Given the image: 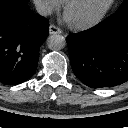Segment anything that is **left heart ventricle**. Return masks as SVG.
Listing matches in <instances>:
<instances>
[{
	"label": "left heart ventricle",
	"mask_w": 128,
	"mask_h": 128,
	"mask_svg": "<svg viewBox=\"0 0 128 128\" xmlns=\"http://www.w3.org/2000/svg\"><path fill=\"white\" fill-rule=\"evenodd\" d=\"M108 0H78L68 11L72 22L85 21L95 16Z\"/></svg>",
	"instance_id": "obj_1"
}]
</instances>
